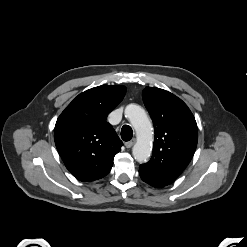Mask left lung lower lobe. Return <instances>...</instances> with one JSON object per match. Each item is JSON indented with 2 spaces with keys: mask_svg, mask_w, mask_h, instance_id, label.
<instances>
[{
  "mask_svg": "<svg viewBox=\"0 0 247 247\" xmlns=\"http://www.w3.org/2000/svg\"><path fill=\"white\" fill-rule=\"evenodd\" d=\"M140 177L142 178V180L148 184H150L151 186H154L156 188H161L163 187L162 185H160L159 183L155 182V181H152V180H149L147 179L146 177H144L143 175L140 174Z\"/></svg>",
  "mask_w": 247,
  "mask_h": 247,
  "instance_id": "obj_1",
  "label": "left lung lower lobe"
}]
</instances>
